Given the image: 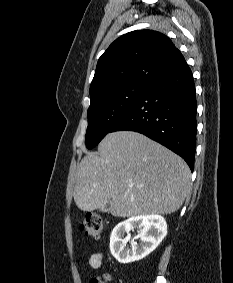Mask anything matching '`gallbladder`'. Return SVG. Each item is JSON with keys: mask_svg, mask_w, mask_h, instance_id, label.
Returning a JSON list of instances; mask_svg holds the SVG:
<instances>
[{"mask_svg": "<svg viewBox=\"0 0 233 283\" xmlns=\"http://www.w3.org/2000/svg\"><path fill=\"white\" fill-rule=\"evenodd\" d=\"M103 211L107 212L109 210V204H107L105 207L102 208Z\"/></svg>", "mask_w": 233, "mask_h": 283, "instance_id": "1", "label": "gallbladder"}]
</instances>
